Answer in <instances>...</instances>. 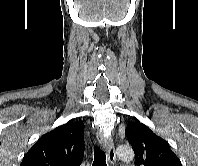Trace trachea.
I'll return each mask as SVG.
<instances>
[{
    "instance_id": "trachea-1",
    "label": "trachea",
    "mask_w": 198,
    "mask_h": 166,
    "mask_svg": "<svg viewBox=\"0 0 198 166\" xmlns=\"http://www.w3.org/2000/svg\"><path fill=\"white\" fill-rule=\"evenodd\" d=\"M92 166H107L106 155L99 147H94V161Z\"/></svg>"
}]
</instances>
